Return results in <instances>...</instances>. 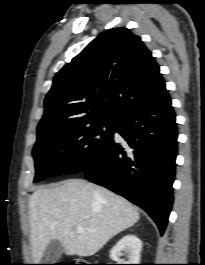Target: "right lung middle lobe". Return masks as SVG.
Instances as JSON below:
<instances>
[{
	"instance_id": "right-lung-middle-lobe-1",
	"label": "right lung middle lobe",
	"mask_w": 205,
	"mask_h": 265,
	"mask_svg": "<svg viewBox=\"0 0 205 265\" xmlns=\"http://www.w3.org/2000/svg\"><path fill=\"white\" fill-rule=\"evenodd\" d=\"M115 122L94 121L64 130L37 131L34 182L82 171L112 139Z\"/></svg>"
}]
</instances>
